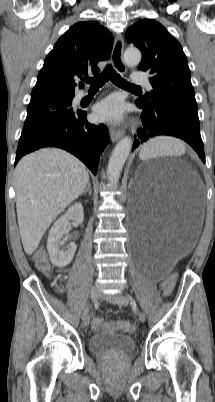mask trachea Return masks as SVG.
Returning a JSON list of instances; mask_svg holds the SVG:
<instances>
[{
    "label": "trachea",
    "mask_w": 215,
    "mask_h": 402,
    "mask_svg": "<svg viewBox=\"0 0 215 402\" xmlns=\"http://www.w3.org/2000/svg\"><path fill=\"white\" fill-rule=\"evenodd\" d=\"M83 80L90 84L91 89H99L102 87L108 80H111L115 85L122 88H140L139 86L133 85L123 79L111 65H108L99 75L96 77H85Z\"/></svg>",
    "instance_id": "obj_1"
}]
</instances>
